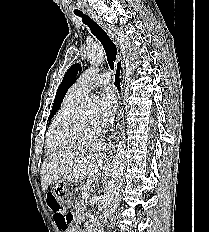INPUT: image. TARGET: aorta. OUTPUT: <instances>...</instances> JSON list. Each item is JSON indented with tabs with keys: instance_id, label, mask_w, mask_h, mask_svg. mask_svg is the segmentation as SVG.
I'll return each mask as SVG.
<instances>
[{
	"instance_id": "obj_1",
	"label": "aorta",
	"mask_w": 209,
	"mask_h": 232,
	"mask_svg": "<svg viewBox=\"0 0 209 232\" xmlns=\"http://www.w3.org/2000/svg\"><path fill=\"white\" fill-rule=\"evenodd\" d=\"M87 57L91 65H99L103 61V49L98 44H92L88 48ZM96 97L91 96L84 101L87 107H95ZM125 170V138L124 131L120 133V137L116 143V152L113 158L110 179L107 184L106 193L104 194V209L102 219L106 222L113 214L118 201L121 186L124 180Z\"/></svg>"
}]
</instances>
